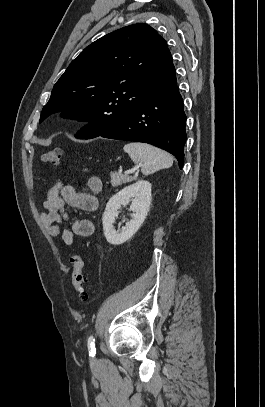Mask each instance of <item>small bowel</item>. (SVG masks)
I'll use <instances>...</instances> for the list:
<instances>
[{
    "mask_svg": "<svg viewBox=\"0 0 265 407\" xmlns=\"http://www.w3.org/2000/svg\"><path fill=\"white\" fill-rule=\"evenodd\" d=\"M83 187L85 192H77L74 186L59 181L49 189L43 204L44 211L40 215L42 225L50 237L60 236L66 246L74 244V236L86 238L94 233V224L88 219H73L67 226V205L87 212L97 209L95 194L102 190L101 179L91 176Z\"/></svg>",
    "mask_w": 265,
    "mask_h": 407,
    "instance_id": "small-bowel-1",
    "label": "small bowel"
}]
</instances>
